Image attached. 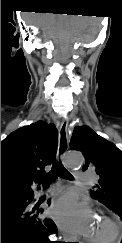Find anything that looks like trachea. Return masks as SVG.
I'll return each mask as SVG.
<instances>
[{
    "mask_svg": "<svg viewBox=\"0 0 122 243\" xmlns=\"http://www.w3.org/2000/svg\"><path fill=\"white\" fill-rule=\"evenodd\" d=\"M59 175H61L64 179L73 180V176L59 161L58 163L53 164L52 169L48 174L38 177L37 182L42 183L43 186L46 187L50 183L54 182Z\"/></svg>",
    "mask_w": 122,
    "mask_h": 243,
    "instance_id": "trachea-1",
    "label": "trachea"
}]
</instances>
